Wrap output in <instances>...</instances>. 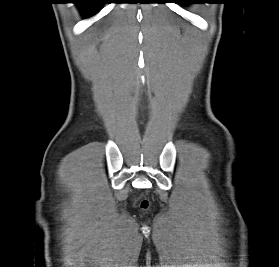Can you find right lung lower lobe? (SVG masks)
<instances>
[{
    "label": "right lung lower lobe",
    "instance_id": "obj_1",
    "mask_svg": "<svg viewBox=\"0 0 279 267\" xmlns=\"http://www.w3.org/2000/svg\"><path fill=\"white\" fill-rule=\"evenodd\" d=\"M82 9L83 13L89 17L98 12L101 4L106 3L105 0H77L75 2Z\"/></svg>",
    "mask_w": 279,
    "mask_h": 267
}]
</instances>
